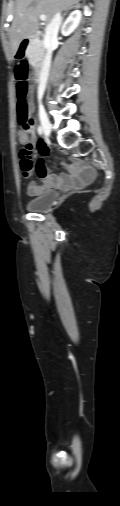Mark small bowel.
Instances as JSON below:
<instances>
[{"instance_id": "small-bowel-1", "label": "small bowel", "mask_w": 120, "mask_h": 506, "mask_svg": "<svg viewBox=\"0 0 120 506\" xmlns=\"http://www.w3.org/2000/svg\"><path fill=\"white\" fill-rule=\"evenodd\" d=\"M32 132L35 135V130L32 123ZM36 137V135H35ZM39 151V158L33 160L30 158H23L20 156L21 168L25 179H30L37 176L43 182L42 185H37L33 182L28 184L27 192L30 196H39L47 189L53 186H68V187H81L89 183L94 178V171L85 166L81 161L74 163H65L63 167L68 171L70 176L61 175L55 176L50 174L44 163V157L48 155L46 143L40 141L37 145Z\"/></svg>"}]
</instances>
